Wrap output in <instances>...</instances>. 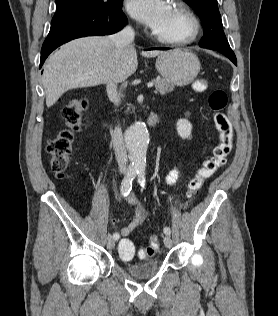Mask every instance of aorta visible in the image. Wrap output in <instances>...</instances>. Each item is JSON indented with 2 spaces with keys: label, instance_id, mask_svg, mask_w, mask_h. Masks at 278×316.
<instances>
[{
  "label": "aorta",
  "instance_id": "762f6f07",
  "mask_svg": "<svg viewBox=\"0 0 278 316\" xmlns=\"http://www.w3.org/2000/svg\"><path fill=\"white\" fill-rule=\"evenodd\" d=\"M125 143L133 169L144 171L146 168V153L149 144V133L146 124L136 122L125 132Z\"/></svg>",
  "mask_w": 278,
  "mask_h": 316
}]
</instances>
